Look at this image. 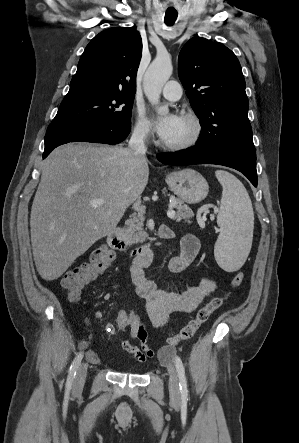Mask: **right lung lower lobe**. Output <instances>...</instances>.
<instances>
[{"label":"right lung lower lobe","mask_w":299,"mask_h":443,"mask_svg":"<svg viewBox=\"0 0 299 443\" xmlns=\"http://www.w3.org/2000/svg\"><path fill=\"white\" fill-rule=\"evenodd\" d=\"M131 123L110 122L83 126H53L49 125L45 135V150L43 158L62 144L69 142H93L104 144H119L130 133Z\"/></svg>","instance_id":"98d812e1"}]
</instances>
